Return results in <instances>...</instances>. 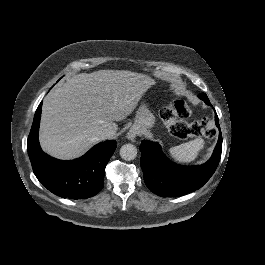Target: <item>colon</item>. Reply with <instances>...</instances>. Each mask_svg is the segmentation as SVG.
<instances>
[{
    "mask_svg": "<svg viewBox=\"0 0 265 265\" xmlns=\"http://www.w3.org/2000/svg\"><path fill=\"white\" fill-rule=\"evenodd\" d=\"M191 110L183 100H176L161 112V118L172 135L178 138L194 136H214V130L209 126L206 119L188 123L186 119L190 116Z\"/></svg>",
    "mask_w": 265,
    "mask_h": 265,
    "instance_id": "1",
    "label": "colon"
}]
</instances>
